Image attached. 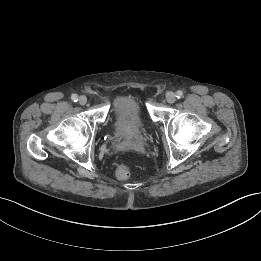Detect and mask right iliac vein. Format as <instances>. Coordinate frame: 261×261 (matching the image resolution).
Returning a JSON list of instances; mask_svg holds the SVG:
<instances>
[{"mask_svg": "<svg viewBox=\"0 0 261 261\" xmlns=\"http://www.w3.org/2000/svg\"><path fill=\"white\" fill-rule=\"evenodd\" d=\"M87 103V97L86 96H80L79 98V104L85 105Z\"/></svg>", "mask_w": 261, "mask_h": 261, "instance_id": "obj_1", "label": "right iliac vein"}]
</instances>
